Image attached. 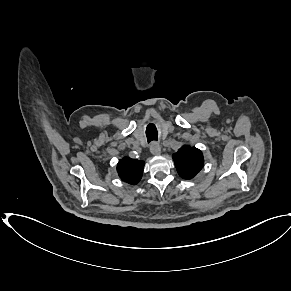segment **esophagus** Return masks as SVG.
Segmentation results:
<instances>
[{
    "instance_id": "esophagus-1",
    "label": "esophagus",
    "mask_w": 291,
    "mask_h": 291,
    "mask_svg": "<svg viewBox=\"0 0 291 291\" xmlns=\"http://www.w3.org/2000/svg\"><path fill=\"white\" fill-rule=\"evenodd\" d=\"M150 152L153 155H160L161 154V147H160V145L157 142H153L150 145Z\"/></svg>"
}]
</instances>
